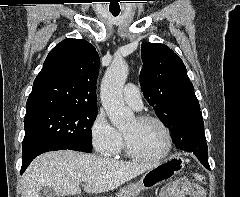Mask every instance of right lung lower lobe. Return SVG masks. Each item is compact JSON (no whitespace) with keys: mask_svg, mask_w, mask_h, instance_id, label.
<instances>
[{"mask_svg":"<svg viewBox=\"0 0 240 197\" xmlns=\"http://www.w3.org/2000/svg\"><path fill=\"white\" fill-rule=\"evenodd\" d=\"M56 150H66L63 147L57 146V145H47L42 148L34 149V150H27L26 155L22 156V167H21V174L25 171V169L28 167V165L31 163V161L40 155L41 153L47 152V151H56Z\"/></svg>","mask_w":240,"mask_h":197,"instance_id":"1","label":"right lung lower lobe"}]
</instances>
